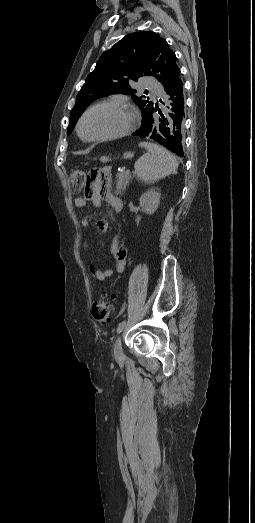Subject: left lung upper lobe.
<instances>
[{"mask_svg": "<svg viewBox=\"0 0 255 523\" xmlns=\"http://www.w3.org/2000/svg\"><path fill=\"white\" fill-rule=\"evenodd\" d=\"M176 60L166 40L156 33L148 31L126 35L100 57L95 69L87 76L70 114L67 133L72 132L78 118L94 100L117 93L131 94L141 109L140 121L145 122L143 118H148L150 110L160 109L157 104L154 108L149 99L144 100L145 96H136V90L131 88L130 82L150 75L160 81L165 89L167 85L174 84L175 77L180 76Z\"/></svg>", "mask_w": 255, "mask_h": 523, "instance_id": "1", "label": "left lung upper lobe"}]
</instances>
